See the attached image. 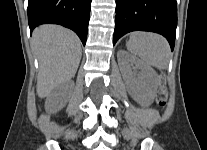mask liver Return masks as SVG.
Wrapping results in <instances>:
<instances>
[{
    "instance_id": "liver-1",
    "label": "liver",
    "mask_w": 207,
    "mask_h": 150,
    "mask_svg": "<svg viewBox=\"0 0 207 150\" xmlns=\"http://www.w3.org/2000/svg\"><path fill=\"white\" fill-rule=\"evenodd\" d=\"M32 46L39 61L37 95L48 96L76 74L82 50L77 35L58 25H42L33 32Z\"/></svg>"
}]
</instances>
